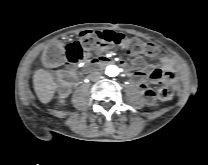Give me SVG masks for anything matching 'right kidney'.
Instances as JSON below:
<instances>
[{
	"mask_svg": "<svg viewBox=\"0 0 208 165\" xmlns=\"http://www.w3.org/2000/svg\"><path fill=\"white\" fill-rule=\"evenodd\" d=\"M64 101H65V100H60V101H59V103H61V104H62V103H64Z\"/></svg>",
	"mask_w": 208,
	"mask_h": 165,
	"instance_id": "obj_1",
	"label": "right kidney"
}]
</instances>
